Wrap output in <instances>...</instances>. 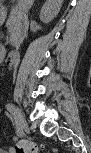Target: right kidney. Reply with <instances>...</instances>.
I'll list each match as a JSON object with an SVG mask.
<instances>
[{"instance_id":"1","label":"right kidney","mask_w":91,"mask_h":153,"mask_svg":"<svg viewBox=\"0 0 91 153\" xmlns=\"http://www.w3.org/2000/svg\"><path fill=\"white\" fill-rule=\"evenodd\" d=\"M59 10H60L59 6L51 3L50 0L47 1L41 9L40 20L43 23L51 22L54 19V17L57 16Z\"/></svg>"}]
</instances>
